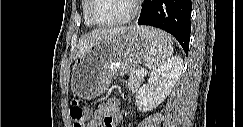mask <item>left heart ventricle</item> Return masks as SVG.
<instances>
[{
	"mask_svg": "<svg viewBox=\"0 0 243 127\" xmlns=\"http://www.w3.org/2000/svg\"><path fill=\"white\" fill-rule=\"evenodd\" d=\"M132 7L131 0H96L93 13L97 20L110 22L127 16Z\"/></svg>",
	"mask_w": 243,
	"mask_h": 127,
	"instance_id": "b2bd125f",
	"label": "left heart ventricle"
}]
</instances>
